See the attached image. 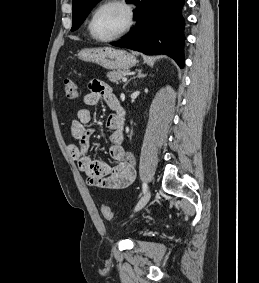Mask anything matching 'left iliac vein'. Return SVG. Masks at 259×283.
Here are the masks:
<instances>
[{
	"mask_svg": "<svg viewBox=\"0 0 259 283\" xmlns=\"http://www.w3.org/2000/svg\"><path fill=\"white\" fill-rule=\"evenodd\" d=\"M151 197V191L147 190L144 195L141 197V199L139 200V202L137 203L136 207H135V211H140L150 200Z\"/></svg>",
	"mask_w": 259,
	"mask_h": 283,
	"instance_id": "left-iliac-vein-1",
	"label": "left iliac vein"
}]
</instances>
